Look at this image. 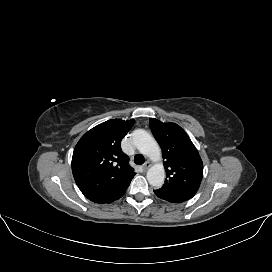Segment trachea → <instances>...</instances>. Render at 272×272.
I'll return each instance as SVG.
<instances>
[{"mask_svg":"<svg viewBox=\"0 0 272 272\" xmlns=\"http://www.w3.org/2000/svg\"><path fill=\"white\" fill-rule=\"evenodd\" d=\"M144 157L141 155V154H137V155H135V157H134V162L136 163V164H143L144 163Z\"/></svg>","mask_w":272,"mask_h":272,"instance_id":"obj_1","label":"trachea"}]
</instances>
